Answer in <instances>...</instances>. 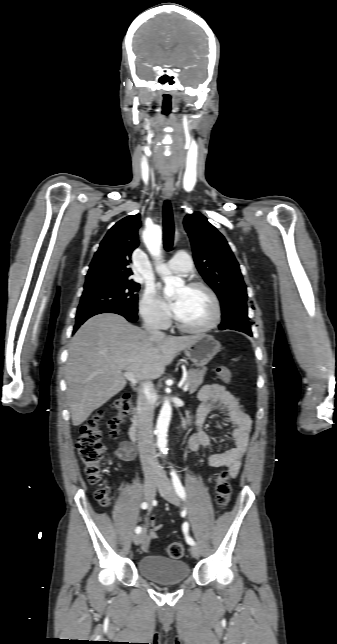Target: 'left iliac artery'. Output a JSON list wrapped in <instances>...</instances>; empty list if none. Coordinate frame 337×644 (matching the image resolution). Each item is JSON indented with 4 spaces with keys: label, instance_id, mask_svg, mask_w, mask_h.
<instances>
[{
    "label": "left iliac artery",
    "instance_id": "left-iliac-artery-1",
    "mask_svg": "<svg viewBox=\"0 0 337 644\" xmlns=\"http://www.w3.org/2000/svg\"><path fill=\"white\" fill-rule=\"evenodd\" d=\"M171 477H172V482H173V485H174L176 493L178 494V496L180 498L185 499L186 498V492H185L184 487L182 486V483H181V481H180V479H179V477H178V475H177L175 470L171 471ZM182 530H183V533L185 534L186 542L189 545H195L194 540L188 535L189 524L187 522H185L182 525Z\"/></svg>",
    "mask_w": 337,
    "mask_h": 644
}]
</instances>
